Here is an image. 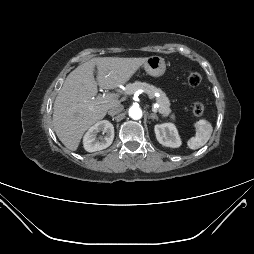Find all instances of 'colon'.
I'll list each match as a JSON object with an SVG mask.
<instances>
[{
	"label": "colon",
	"mask_w": 254,
	"mask_h": 254,
	"mask_svg": "<svg viewBox=\"0 0 254 254\" xmlns=\"http://www.w3.org/2000/svg\"><path fill=\"white\" fill-rule=\"evenodd\" d=\"M187 82L190 86H198L201 83V75L195 70H188L186 74ZM193 114L197 117L203 115L204 105L201 102H195L192 105Z\"/></svg>",
	"instance_id": "colon-1"
}]
</instances>
